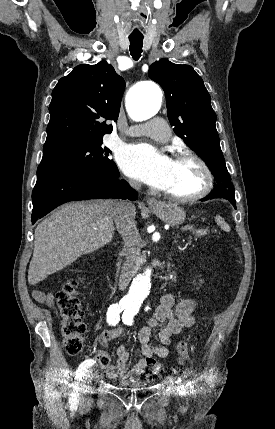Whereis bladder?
I'll return each mask as SVG.
<instances>
[{
  "label": "bladder",
  "mask_w": 275,
  "mask_h": 429,
  "mask_svg": "<svg viewBox=\"0 0 275 429\" xmlns=\"http://www.w3.org/2000/svg\"><path fill=\"white\" fill-rule=\"evenodd\" d=\"M120 385H122V386H128L129 384H128V383H121ZM135 385H137V386H141V385H143V384H141V383H137V384H135Z\"/></svg>",
  "instance_id": "1"
}]
</instances>
